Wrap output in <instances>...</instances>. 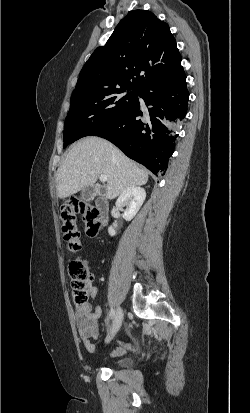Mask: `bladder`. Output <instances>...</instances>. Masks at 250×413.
<instances>
[{"label":"bladder","instance_id":"obj_1","mask_svg":"<svg viewBox=\"0 0 250 413\" xmlns=\"http://www.w3.org/2000/svg\"><path fill=\"white\" fill-rule=\"evenodd\" d=\"M131 364L132 359L130 357H121L113 362V365L117 367H129Z\"/></svg>","mask_w":250,"mask_h":413}]
</instances>
